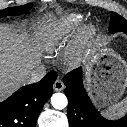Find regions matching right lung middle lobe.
Returning a JSON list of instances; mask_svg holds the SVG:
<instances>
[{
    "label": "right lung middle lobe",
    "mask_w": 127,
    "mask_h": 127,
    "mask_svg": "<svg viewBox=\"0 0 127 127\" xmlns=\"http://www.w3.org/2000/svg\"><path fill=\"white\" fill-rule=\"evenodd\" d=\"M31 7H32V4L28 3L23 6L6 8L4 10H0V17H4L7 15H10V16L21 15V14L27 12Z\"/></svg>",
    "instance_id": "right-lung-middle-lobe-1"
}]
</instances>
